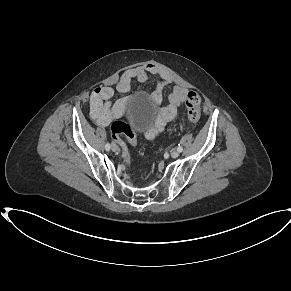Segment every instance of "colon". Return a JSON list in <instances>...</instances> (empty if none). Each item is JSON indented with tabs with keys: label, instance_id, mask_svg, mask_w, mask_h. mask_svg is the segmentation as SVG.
<instances>
[{
	"label": "colon",
	"instance_id": "1",
	"mask_svg": "<svg viewBox=\"0 0 291 291\" xmlns=\"http://www.w3.org/2000/svg\"><path fill=\"white\" fill-rule=\"evenodd\" d=\"M200 104L201 97L198 93L190 91L187 94L186 106H187V118L195 122L200 117ZM111 131L113 138L119 143L121 147V154L126 163H129V154L127 146L124 141L121 139L122 136L126 137L127 142L130 146L136 145V134L134 129L128 123L122 121H115L111 126Z\"/></svg>",
	"mask_w": 291,
	"mask_h": 291
}]
</instances>
